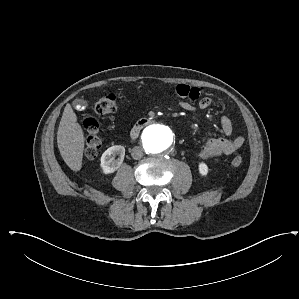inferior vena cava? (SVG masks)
I'll return each mask as SVG.
<instances>
[{
	"instance_id": "obj_1",
	"label": "inferior vena cava",
	"mask_w": 299,
	"mask_h": 299,
	"mask_svg": "<svg viewBox=\"0 0 299 299\" xmlns=\"http://www.w3.org/2000/svg\"><path fill=\"white\" fill-rule=\"evenodd\" d=\"M131 155L136 160L141 159L143 157V149L139 146H135L131 151Z\"/></svg>"
}]
</instances>
